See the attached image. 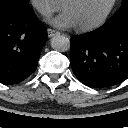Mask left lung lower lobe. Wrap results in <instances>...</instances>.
I'll return each instance as SVG.
<instances>
[{
  "mask_svg": "<svg viewBox=\"0 0 128 128\" xmlns=\"http://www.w3.org/2000/svg\"><path fill=\"white\" fill-rule=\"evenodd\" d=\"M70 63L76 77L89 87H109L127 79L128 13L72 37Z\"/></svg>",
  "mask_w": 128,
  "mask_h": 128,
  "instance_id": "left-lung-lower-lobe-1",
  "label": "left lung lower lobe"
}]
</instances>
